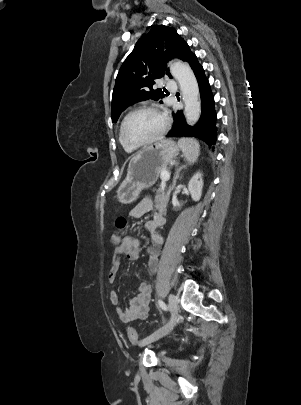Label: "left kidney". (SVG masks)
I'll return each instance as SVG.
<instances>
[{
	"mask_svg": "<svg viewBox=\"0 0 301 405\" xmlns=\"http://www.w3.org/2000/svg\"><path fill=\"white\" fill-rule=\"evenodd\" d=\"M203 180L202 174L196 173L188 183V189L194 201H199L202 195Z\"/></svg>",
	"mask_w": 301,
	"mask_h": 405,
	"instance_id": "left-kidney-1",
	"label": "left kidney"
}]
</instances>
